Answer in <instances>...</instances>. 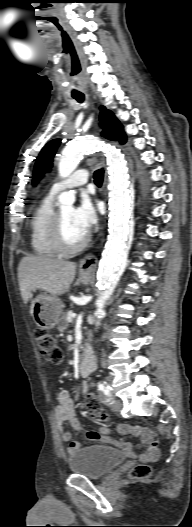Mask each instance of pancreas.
Wrapping results in <instances>:
<instances>
[{"instance_id":"cf45deb5","label":"pancreas","mask_w":192,"mask_h":527,"mask_svg":"<svg viewBox=\"0 0 192 527\" xmlns=\"http://www.w3.org/2000/svg\"><path fill=\"white\" fill-rule=\"evenodd\" d=\"M67 315H68V312H65L61 315V317L59 318V321H58V329L60 331H64L65 329H67L68 327V321H67Z\"/></svg>"}]
</instances>
